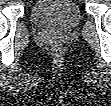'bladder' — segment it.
<instances>
[{"instance_id":"31cf9c89","label":"bladder","mask_w":111,"mask_h":106,"mask_svg":"<svg viewBox=\"0 0 111 106\" xmlns=\"http://www.w3.org/2000/svg\"><path fill=\"white\" fill-rule=\"evenodd\" d=\"M30 18L39 27L64 32L80 24L82 13L73 0H38L31 8Z\"/></svg>"}]
</instances>
